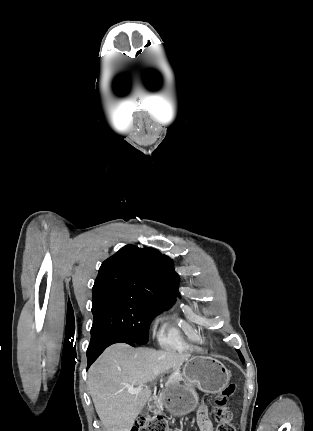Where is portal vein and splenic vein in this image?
Segmentation results:
<instances>
[{"mask_svg": "<svg viewBox=\"0 0 313 431\" xmlns=\"http://www.w3.org/2000/svg\"><path fill=\"white\" fill-rule=\"evenodd\" d=\"M142 387H138V388H132V387H130V388H128V392L130 393V394H138L139 392H141L142 391Z\"/></svg>", "mask_w": 313, "mask_h": 431, "instance_id": "portal-vein-and-splenic-vein-1", "label": "portal vein and splenic vein"}]
</instances>
